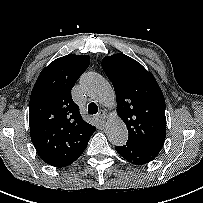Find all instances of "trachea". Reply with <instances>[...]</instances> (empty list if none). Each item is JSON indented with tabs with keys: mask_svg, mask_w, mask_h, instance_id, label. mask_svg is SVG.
<instances>
[{
	"mask_svg": "<svg viewBox=\"0 0 203 203\" xmlns=\"http://www.w3.org/2000/svg\"><path fill=\"white\" fill-rule=\"evenodd\" d=\"M98 112V106L96 105V103L91 102L88 105V113L89 114H96Z\"/></svg>",
	"mask_w": 203,
	"mask_h": 203,
	"instance_id": "3493384b",
	"label": "trachea"
}]
</instances>
